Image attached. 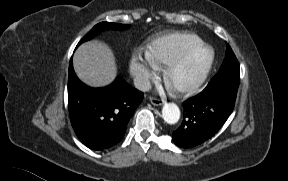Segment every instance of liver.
Segmentation results:
<instances>
[{
  "label": "liver",
  "mask_w": 288,
  "mask_h": 181,
  "mask_svg": "<svg viewBox=\"0 0 288 181\" xmlns=\"http://www.w3.org/2000/svg\"><path fill=\"white\" fill-rule=\"evenodd\" d=\"M73 66L79 79L92 87L110 84L117 73L111 49L98 41H89L79 46L73 57Z\"/></svg>",
  "instance_id": "liver-1"
}]
</instances>
